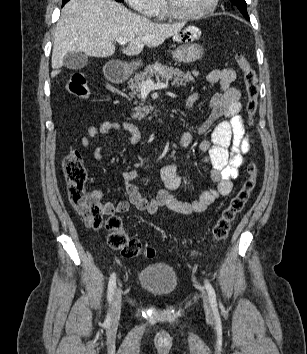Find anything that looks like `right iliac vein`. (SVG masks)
<instances>
[{"label": "right iliac vein", "instance_id": "right-iliac-vein-1", "mask_svg": "<svg viewBox=\"0 0 307 354\" xmlns=\"http://www.w3.org/2000/svg\"><path fill=\"white\" fill-rule=\"evenodd\" d=\"M121 304H122V291L118 288L114 294L113 303H112V320L116 321L121 312Z\"/></svg>", "mask_w": 307, "mask_h": 354}]
</instances>
